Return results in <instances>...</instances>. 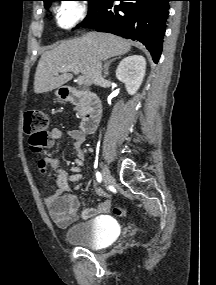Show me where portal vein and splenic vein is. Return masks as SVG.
Returning <instances> with one entry per match:
<instances>
[{
  "label": "portal vein and splenic vein",
  "mask_w": 216,
  "mask_h": 285,
  "mask_svg": "<svg viewBox=\"0 0 216 285\" xmlns=\"http://www.w3.org/2000/svg\"><path fill=\"white\" fill-rule=\"evenodd\" d=\"M67 71H72L74 74H78L79 73V69L77 66H70V67H67V68H63V69H60L57 74L59 73H63V72H67ZM77 83L79 85H82L84 83H86V78L84 75H81L77 78Z\"/></svg>",
  "instance_id": "18ae733b"
}]
</instances>
